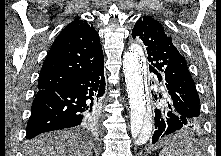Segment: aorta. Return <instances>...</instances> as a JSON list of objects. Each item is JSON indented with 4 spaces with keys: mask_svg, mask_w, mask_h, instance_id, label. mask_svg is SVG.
<instances>
[{
    "mask_svg": "<svg viewBox=\"0 0 221 156\" xmlns=\"http://www.w3.org/2000/svg\"><path fill=\"white\" fill-rule=\"evenodd\" d=\"M123 71L130 105L131 134L142 145L151 136L152 112L147 99L145 56L138 44H132L124 54Z\"/></svg>",
    "mask_w": 221,
    "mask_h": 156,
    "instance_id": "obj_1",
    "label": "aorta"
}]
</instances>
